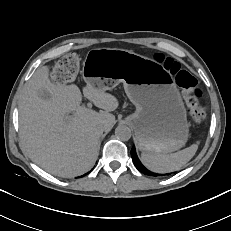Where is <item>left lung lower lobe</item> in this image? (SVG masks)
Returning <instances> with one entry per match:
<instances>
[{
  "label": "left lung lower lobe",
  "instance_id": "obj_1",
  "mask_svg": "<svg viewBox=\"0 0 231 231\" xmlns=\"http://www.w3.org/2000/svg\"><path fill=\"white\" fill-rule=\"evenodd\" d=\"M131 156H132V160L136 166V168L142 172L143 174L145 175H149V176H162L160 174H156V173H152L150 171H148L142 164L141 162L139 161L137 155H136V152H135V147L133 146L132 149H131ZM166 175H169V174H166Z\"/></svg>",
  "mask_w": 231,
  "mask_h": 231
}]
</instances>
